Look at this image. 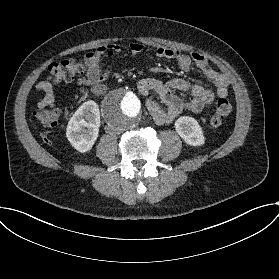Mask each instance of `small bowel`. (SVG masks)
I'll return each instance as SVG.
<instances>
[{"label":"small bowel","instance_id":"obj_1","mask_svg":"<svg viewBox=\"0 0 279 279\" xmlns=\"http://www.w3.org/2000/svg\"><path fill=\"white\" fill-rule=\"evenodd\" d=\"M144 46L140 43H133L131 51L138 54ZM120 46L117 43L102 44L94 50L87 52L84 56L85 76L78 79L79 85L98 89L101 84L108 79L113 72V65H104V59L113 62L116 58ZM156 57L159 59H172L177 62L181 70L188 71L192 65H196L199 71L209 80L214 87L216 94L220 98L228 96L229 80L211 67L205 56L199 52H181L174 48L160 47L156 50ZM37 92H42L44 96L37 103L38 108L50 106L55 101L54 80L47 78L39 82L35 87ZM137 90L140 94L147 96L149 93H156L164 103L162 107L153 99L147 98L145 107L155 123L164 125L172 122L184 111L200 112L212 104L215 94L206 86L186 80L174 78L168 82H163L155 77H145L137 82ZM188 91L191 95L189 101L181 100L174 92Z\"/></svg>","mask_w":279,"mask_h":279}]
</instances>
